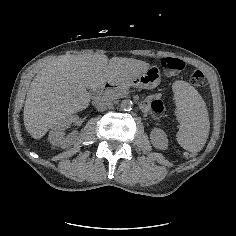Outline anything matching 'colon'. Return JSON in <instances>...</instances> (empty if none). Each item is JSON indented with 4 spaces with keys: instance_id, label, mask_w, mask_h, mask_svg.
<instances>
[{
    "instance_id": "1",
    "label": "colon",
    "mask_w": 236,
    "mask_h": 236,
    "mask_svg": "<svg viewBox=\"0 0 236 236\" xmlns=\"http://www.w3.org/2000/svg\"><path fill=\"white\" fill-rule=\"evenodd\" d=\"M164 69L169 74H177L182 72L186 63L183 59L177 57H165L162 60ZM190 83L196 87L204 86L206 83L205 75L202 71L196 70L190 76ZM151 111L158 117H164L166 115V106L162 98L155 97L150 103Z\"/></svg>"
}]
</instances>
